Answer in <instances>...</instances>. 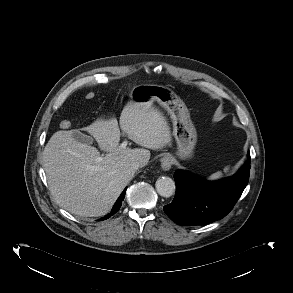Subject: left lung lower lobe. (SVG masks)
Returning a JSON list of instances; mask_svg holds the SVG:
<instances>
[{
  "instance_id": "1",
  "label": "left lung lower lobe",
  "mask_w": 293,
  "mask_h": 293,
  "mask_svg": "<svg viewBox=\"0 0 293 293\" xmlns=\"http://www.w3.org/2000/svg\"><path fill=\"white\" fill-rule=\"evenodd\" d=\"M249 170L250 164L245 163L234 176L216 182L178 170L174 175V200L164 206V211L179 225H203L219 220L241 196L249 180Z\"/></svg>"
}]
</instances>
